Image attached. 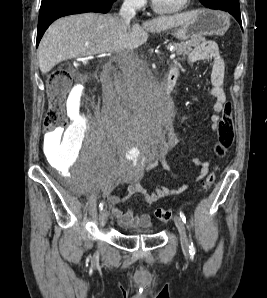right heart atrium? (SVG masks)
<instances>
[{"label":"right heart atrium","mask_w":267,"mask_h":298,"mask_svg":"<svg viewBox=\"0 0 267 298\" xmlns=\"http://www.w3.org/2000/svg\"><path fill=\"white\" fill-rule=\"evenodd\" d=\"M127 5L134 9H142L146 3L147 0H124Z\"/></svg>","instance_id":"right-heart-atrium-1"}]
</instances>
